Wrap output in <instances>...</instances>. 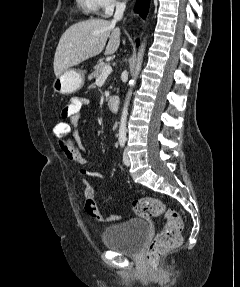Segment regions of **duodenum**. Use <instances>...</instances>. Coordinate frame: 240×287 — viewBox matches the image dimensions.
Instances as JSON below:
<instances>
[{"instance_id": "duodenum-1", "label": "duodenum", "mask_w": 240, "mask_h": 287, "mask_svg": "<svg viewBox=\"0 0 240 287\" xmlns=\"http://www.w3.org/2000/svg\"><path fill=\"white\" fill-rule=\"evenodd\" d=\"M120 105V98L117 95H112L108 99V107L111 111L115 112L118 110Z\"/></svg>"}]
</instances>
